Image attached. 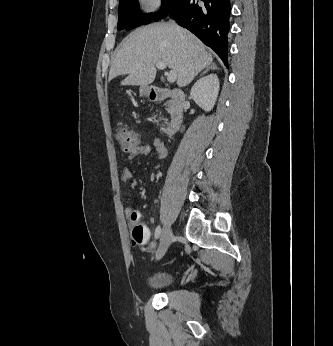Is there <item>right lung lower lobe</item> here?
<instances>
[{
	"mask_svg": "<svg viewBox=\"0 0 333 346\" xmlns=\"http://www.w3.org/2000/svg\"><path fill=\"white\" fill-rule=\"evenodd\" d=\"M169 15L212 48L228 67L230 0H180Z\"/></svg>",
	"mask_w": 333,
	"mask_h": 346,
	"instance_id": "98d812e1",
	"label": "right lung lower lobe"
}]
</instances>
